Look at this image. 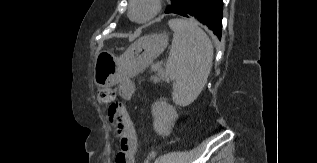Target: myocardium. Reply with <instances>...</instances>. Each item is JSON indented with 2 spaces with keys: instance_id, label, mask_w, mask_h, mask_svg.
<instances>
[{
  "instance_id": "obj_1",
  "label": "myocardium",
  "mask_w": 317,
  "mask_h": 163,
  "mask_svg": "<svg viewBox=\"0 0 317 163\" xmlns=\"http://www.w3.org/2000/svg\"><path fill=\"white\" fill-rule=\"evenodd\" d=\"M137 0H130V5H129V17L131 20L137 22V23H147L149 21H151L152 19H154L160 12L161 10V0H150L151 3V11L150 13L141 19H137L133 16V9L135 7Z\"/></svg>"
}]
</instances>
